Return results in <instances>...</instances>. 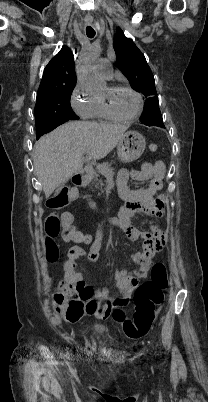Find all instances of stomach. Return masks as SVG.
<instances>
[{
	"label": "stomach",
	"instance_id": "obj_1",
	"mask_svg": "<svg viewBox=\"0 0 208 402\" xmlns=\"http://www.w3.org/2000/svg\"><path fill=\"white\" fill-rule=\"evenodd\" d=\"M145 146V138L141 134H138V132H126L117 146L118 158L125 164L134 162V160H138L142 156Z\"/></svg>",
	"mask_w": 208,
	"mask_h": 402
}]
</instances>
